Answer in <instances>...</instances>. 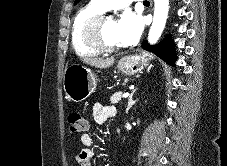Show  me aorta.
Returning <instances> with one entry per match:
<instances>
[{
  "mask_svg": "<svg viewBox=\"0 0 227 166\" xmlns=\"http://www.w3.org/2000/svg\"><path fill=\"white\" fill-rule=\"evenodd\" d=\"M169 11V0H154V18L148 34V42L155 44L166 24Z\"/></svg>",
  "mask_w": 227,
  "mask_h": 166,
  "instance_id": "1",
  "label": "aorta"
}]
</instances>
